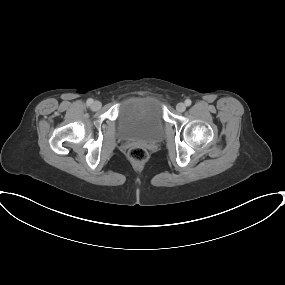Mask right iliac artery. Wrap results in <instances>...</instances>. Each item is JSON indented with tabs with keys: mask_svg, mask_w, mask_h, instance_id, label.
<instances>
[{
	"mask_svg": "<svg viewBox=\"0 0 285 285\" xmlns=\"http://www.w3.org/2000/svg\"><path fill=\"white\" fill-rule=\"evenodd\" d=\"M91 104H93V99L90 98L87 100V105L90 106Z\"/></svg>",
	"mask_w": 285,
	"mask_h": 285,
	"instance_id": "right-iliac-artery-1",
	"label": "right iliac artery"
}]
</instances>
